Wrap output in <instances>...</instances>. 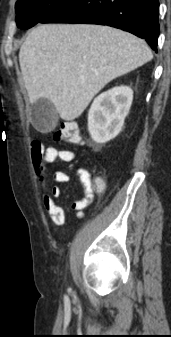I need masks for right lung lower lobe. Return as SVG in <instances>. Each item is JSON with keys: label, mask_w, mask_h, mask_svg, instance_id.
<instances>
[{"label": "right lung lower lobe", "mask_w": 171, "mask_h": 337, "mask_svg": "<svg viewBox=\"0 0 171 337\" xmlns=\"http://www.w3.org/2000/svg\"><path fill=\"white\" fill-rule=\"evenodd\" d=\"M158 15V0H67L41 23L108 25L145 39L157 52Z\"/></svg>", "instance_id": "1"}]
</instances>
